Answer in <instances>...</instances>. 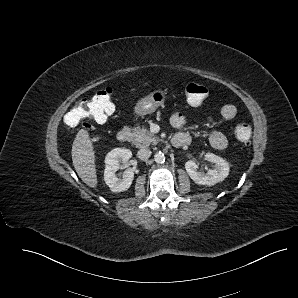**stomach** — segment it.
<instances>
[{"instance_id": "obj_1", "label": "stomach", "mask_w": 298, "mask_h": 298, "mask_svg": "<svg viewBox=\"0 0 298 298\" xmlns=\"http://www.w3.org/2000/svg\"><path fill=\"white\" fill-rule=\"evenodd\" d=\"M165 101V93L161 90L151 92L139 100L135 106V113L138 116L151 114L157 110Z\"/></svg>"}]
</instances>
